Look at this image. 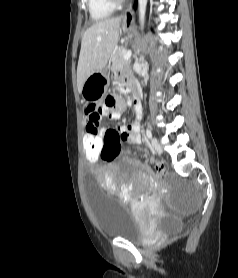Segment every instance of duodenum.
<instances>
[{
    "label": "duodenum",
    "instance_id": "1",
    "mask_svg": "<svg viewBox=\"0 0 238 278\" xmlns=\"http://www.w3.org/2000/svg\"><path fill=\"white\" fill-rule=\"evenodd\" d=\"M133 106L134 110L137 113H141V102H140V96L137 90H133Z\"/></svg>",
    "mask_w": 238,
    "mask_h": 278
}]
</instances>
